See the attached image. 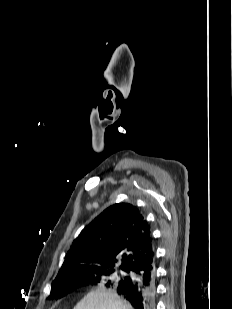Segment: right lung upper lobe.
<instances>
[{
    "label": "right lung upper lobe",
    "mask_w": 232,
    "mask_h": 309,
    "mask_svg": "<svg viewBox=\"0 0 232 309\" xmlns=\"http://www.w3.org/2000/svg\"><path fill=\"white\" fill-rule=\"evenodd\" d=\"M144 257H154L150 226L135 206L118 203L104 210L81 231L52 286L116 266L126 271ZM54 298L61 297L50 294L49 299Z\"/></svg>",
    "instance_id": "obj_1"
}]
</instances>
